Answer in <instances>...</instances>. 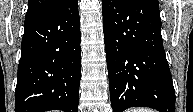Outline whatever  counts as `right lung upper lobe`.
<instances>
[{
    "mask_svg": "<svg viewBox=\"0 0 193 112\" xmlns=\"http://www.w3.org/2000/svg\"><path fill=\"white\" fill-rule=\"evenodd\" d=\"M64 0H29L25 20L39 16L58 6Z\"/></svg>",
    "mask_w": 193,
    "mask_h": 112,
    "instance_id": "obj_1",
    "label": "right lung upper lobe"
}]
</instances>
